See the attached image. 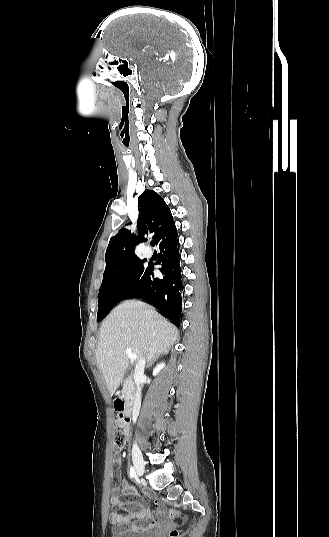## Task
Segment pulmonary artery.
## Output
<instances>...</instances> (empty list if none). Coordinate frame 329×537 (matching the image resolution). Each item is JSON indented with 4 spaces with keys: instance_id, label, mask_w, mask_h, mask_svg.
<instances>
[{
    "instance_id": "e3ab8cb5",
    "label": "pulmonary artery",
    "mask_w": 329,
    "mask_h": 537,
    "mask_svg": "<svg viewBox=\"0 0 329 537\" xmlns=\"http://www.w3.org/2000/svg\"><path fill=\"white\" fill-rule=\"evenodd\" d=\"M143 253H144V255H145L146 257H151L153 252H152V250H151L150 248H145V249L143 250Z\"/></svg>"
}]
</instances>
